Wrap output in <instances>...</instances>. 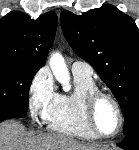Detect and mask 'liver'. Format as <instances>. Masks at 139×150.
<instances>
[{"mask_svg":"<svg viewBox=\"0 0 139 150\" xmlns=\"http://www.w3.org/2000/svg\"><path fill=\"white\" fill-rule=\"evenodd\" d=\"M0 150H98V147L60 134L26 136L22 124L5 121L0 124Z\"/></svg>","mask_w":139,"mask_h":150,"instance_id":"1","label":"liver"}]
</instances>
